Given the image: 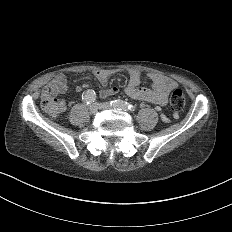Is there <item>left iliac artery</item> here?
<instances>
[{"instance_id":"left-iliac-artery-1","label":"left iliac artery","mask_w":232,"mask_h":232,"mask_svg":"<svg viewBox=\"0 0 232 232\" xmlns=\"http://www.w3.org/2000/svg\"><path fill=\"white\" fill-rule=\"evenodd\" d=\"M110 105L118 110L131 111L134 112L137 109L136 105L130 104L122 100H113L110 102Z\"/></svg>"}]
</instances>
